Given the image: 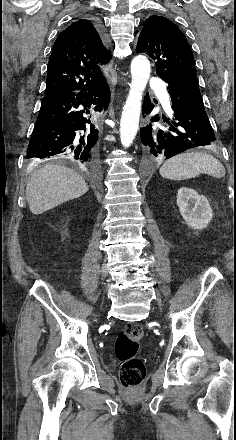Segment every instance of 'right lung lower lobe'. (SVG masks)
<instances>
[{
  "instance_id": "1",
  "label": "right lung lower lobe",
  "mask_w": 236,
  "mask_h": 440,
  "mask_svg": "<svg viewBox=\"0 0 236 440\" xmlns=\"http://www.w3.org/2000/svg\"><path fill=\"white\" fill-rule=\"evenodd\" d=\"M109 100L106 80L86 91L44 96L27 158L34 162L65 160L94 172L99 135L96 118L107 109Z\"/></svg>"
}]
</instances>
